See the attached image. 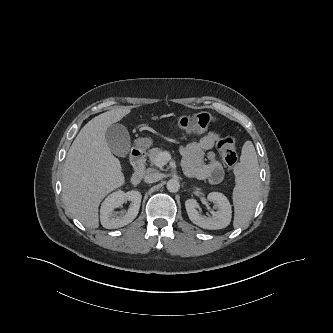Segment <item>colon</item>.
Wrapping results in <instances>:
<instances>
[{
    "instance_id": "colon-1",
    "label": "colon",
    "mask_w": 333,
    "mask_h": 333,
    "mask_svg": "<svg viewBox=\"0 0 333 333\" xmlns=\"http://www.w3.org/2000/svg\"><path fill=\"white\" fill-rule=\"evenodd\" d=\"M214 123L216 119L208 113L185 115L179 119L180 127L188 133L204 131ZM216 147L225 164L230 168L234 167L238 160L235 139L232 136H224L218 140Z\"/></svg>"
}]
</instances>
